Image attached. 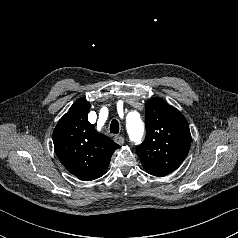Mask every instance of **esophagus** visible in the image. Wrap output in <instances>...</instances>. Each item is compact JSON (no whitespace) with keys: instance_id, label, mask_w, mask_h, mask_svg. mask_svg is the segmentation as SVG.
Returning <instances> with one entry per match:
<instances>
[{"instance_id":"1","label":"esophagus","mask_w":238,"mask_h":238,"mask_svg":"<svg viewBox=\"0 0 238 238\" xmlns=\"http://www.w3.org/2000/svg\"><path fill=\"white\" fill-rule=\"evenodd\" d=\"M114 141L117 144L122 145L124 143V137H122L120 135H116V136H114Z\"/></svg>"}]
</instances>
